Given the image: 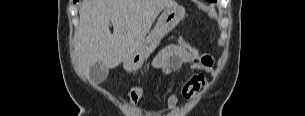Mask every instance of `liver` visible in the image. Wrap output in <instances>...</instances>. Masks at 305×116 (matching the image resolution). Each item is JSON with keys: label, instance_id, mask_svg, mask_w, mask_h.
Returning <instances> with one entry per match:
<instances>
[{"label": "liver", "instance_id": "obj_1", "mask_svg": "<svg viewBox=\"0 0 305 116\" xmlns=\"http://www.w3.org/2000/svg\"><path fill=\"white\" fill-rule=\"evenodd\" d=\"M176 5L175 0H83L74 37L77 73L89 79L97 62L107 68L120 65L144 40L159 13Z\"/></svg>", "mask_w": 305, "mask_h": 116}]
</instances>
